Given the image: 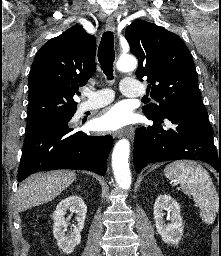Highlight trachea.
<instances>
[{
  "label": "trachea",
  "mask_w": 221,
  "mask_h": 256,
  "mask_svg": "<svg viewBox=\"0 0 221 256\" xmlns=\"http://www.w3.org/2000/svg\"><path fill=\"white\" fill-rule=\"evenodd\" d=\"M114 59H115L114 36L112 32L108 31L102 35V39L98 48V60L108 80H112L114 78L113 77Z\"/></svg>",
  "instance_id": "3493384b"
}]
</instances>
